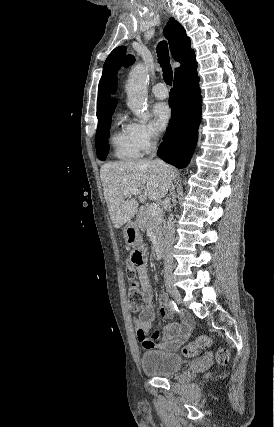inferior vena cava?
I'll list each match as a JSON object with an SVG mask.
<instances>
[{
    "instance_id": "obj_1",
    "label": "inferior vena cava",
    "mask_w": 274,
    "mask_h": 427,
    "mask_svg": "<svg viewBox=\"0 0 274 427\" xmlns=\"http://www.w3.org/2000/svg\"><path fill=\"white\" fill-rule=\"evenodd\" d=\"M151 148L153 152H156V142H152ZM155 154H152L151 158H154ZM166 202L170 206V200L169 198H166ZM170 212V210H169ZM174 233H175V227H174V221H173V215L170 214L168 217L165 233H164V249L165 251H170L173 241H174ZM165 259V265H172V259H168V257H164Z\"/></svg>"
}]
</instances>
